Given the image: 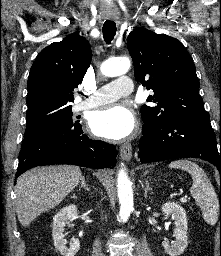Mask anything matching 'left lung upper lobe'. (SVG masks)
Segmentation results:
<instances>
[{"instance_id":"1","label":"left lung upper lobe","mask_w":221,"mask_h":256,"mask_svg":"<svg viewBox=\"0 0 221 256\" xmlns=\"http://www.w3.org/2000/svg\"><path fill=\"white\" fill-rule=\"evenodd\" d=\"M127 48L136 80L154 91L147 101L156 106L141 107L145 124L161 126L181 117L208 115L193 59L178 39L137 28L130 32Z\"/></svg>"}]
</instances>
